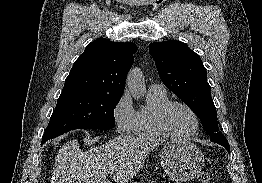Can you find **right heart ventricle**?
<instances>
[{
  "label": "right heart ventricle",
  "instance_id": "e07e8e85",
  "mask_svg": "<svg viewBox=\"0 0 262 183\" xmlns=\"http://www.w3.org/2000/svg\"><path fill=\"white\" fill-rule=\"evenodd\" d=\"M170 101L166 91H148L147 103L136 112L133 134L142 138H163L157 126V116L161 108Z\"/></svg>",
  "mask_w": 262,
  "mask_h": 183
}]
</instances>
